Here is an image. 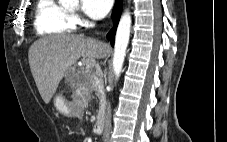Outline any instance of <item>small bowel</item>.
I'll return each instance as SVG.
<instances>
[{
    "instance_id": "obj_1",
    "label": "small bowel",
    "mask_w": 227,
    "mask_h": 142,
    "mask_svg": "<svg viewBox=\"0 0 227 142\" xmlns=\"http://www.w3.org/2000/svg\"><path fill=\"white\" fill-rule=\"evenodd\" d=\"M83 142H93L91 138H85Z\"/></svg>"
}]
</instances>
